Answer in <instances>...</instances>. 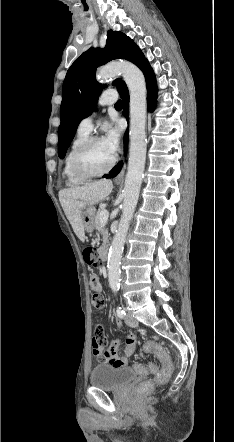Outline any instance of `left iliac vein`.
I'll return each mask as SVG.
<instances>
[{"instance_id":"obj_1","label":"left iliac vein","mask_w":234,"mask_h":442,"mask_svg":"<svg viewBox=\"0 0 234 442\" xmlns=\"http://www.w3.org/2000/svg\"><path fill=\"white\" fill-rule=\"evenodd\" d=\"M125 323L130 327H136L138 325V321L134 317H132L131 314L126 315Z\"/></svg>"}]
</instances>
